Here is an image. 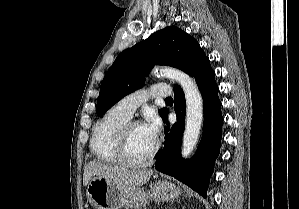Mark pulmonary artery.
<instances>
[{"instance_id": "1", "label": "pulmonary artery", "mask_w": 299, "mask_h": 209, "mask_svg": "<svg viewBox=\"0 0 299 209\" xmlns=\"http://www.w3.org/2000/svg\"><path fill=\"white\" fill-rule=\"evenodd\" d=\"M170 94L171 88L168 84L155 83L150 88L139 89L126 95L116 104V108L131 118L135 110L150 98L169 97Z\"/></svg>"}]
</instances>
